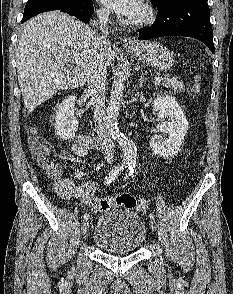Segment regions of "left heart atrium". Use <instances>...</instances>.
<instances>
[{
	"mask_svg": "<svg viewBox=\"0 0 233 294\" xmlns=\"http://www.w3.org/2000/svg\"><path fill=\"white\" fill-rule=\"evenodd\" d=\"M115 13L129 19L136 18L143 9L142 0H99Z\"/></svg>",
	"mask_w": 233,
	"mask_h": 294,
	"instance_id": "left-heart-atrium-1",
	"label": "left heart atrium"
}]
</instances>
